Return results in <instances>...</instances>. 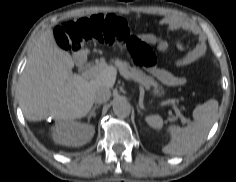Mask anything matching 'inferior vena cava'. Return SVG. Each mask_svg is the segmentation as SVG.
I'll return each instance as SVG.
<instances>
[{"label": "inferior vena cava", "instance_id": "1", "mask_svg": "<svg viewBox=\"0 0 236 182\" xmlns=\"http://www.w3.org/2000/svg\"><path fill=\"white\" fill-rule=\"evenodd\" d=\"M111 97V92L108 87H98L94 93V101L96 103L107 102Z\"/></svg>", "mask_w": 236, "mask_h": 182}]
</instances>
